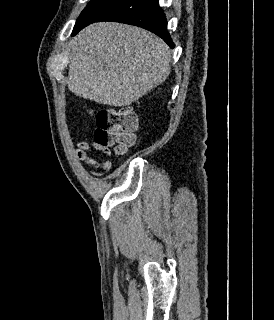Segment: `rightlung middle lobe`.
<instances>
[{
	"label": "right lung middle lobe",
	"mask_w": 274,
	"mask_h": 320,
	"mask_svg": "<svg viewBox=\"0 0 274 320\" xmlns=\"http://www.w3.org/2000/svg\"><path fill=\"white\" fill-rule=\"evenodd\" d=\"M123 0H91L76 21L74 31L95 21L100 15L111 10Z\"/></svg>",
	"instance_id": "1"
}]
</instances>
